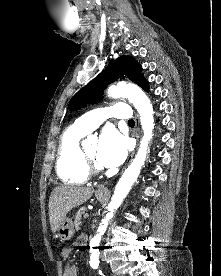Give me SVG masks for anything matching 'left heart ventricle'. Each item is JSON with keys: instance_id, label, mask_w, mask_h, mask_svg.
<instances>
[{"instance_id": "left-heart-ventricle-1", "label": "left heart ventricle", "mask_w": 221, "mask_h": 276, "mask_svg": "<svg viewBox=\"0 0 221 276\" xmlns=\"http://www.w3.org/2000/svg\"><path fill=\"white\" fill-rule=\"evenodd\" d=\"M86 153L92 158H97L98 146L96 144L89 146L86 150Z\"/></svg>"}]
</instances>
